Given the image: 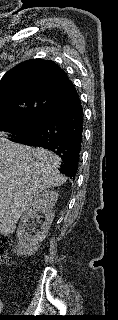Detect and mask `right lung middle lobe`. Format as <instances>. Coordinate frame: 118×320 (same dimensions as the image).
Returning <instances> with one entry per match:
<instances>
[{
	"label": "right lung middle lobe",
	"instance_id": "dd1d6c3e",
	"mask_svg": "<svg viewBox=\"0 0 118 320\" xmlns=\"http://www.w3.org/2000/svg\"><path fill=\"white\" fill-rule=\"evenodd\" d=\"M43 123V119L36 118L1 119L0 131L11 133L12 140L17 141L38 131Z\"/></svg>",
	"mask_w": 118,
	"mask_h": 320
}]
</instances>
